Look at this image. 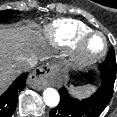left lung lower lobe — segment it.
Instances as JSON below:
<instances>
[{
    "label": "left lung lower lobe",
    "mask_w": 117,
    "mask_h": 117,
    "mask_svg": "<svg viewBox=\"0 0 117 117\" xmlns=\"http://www.w3.org/2000/svg\"><path fill=\"white\" fill-rule=\"evenodd\" d=\"M101 86L90 97L79 100L69 95L67 89L59 90L61 100L56 108L50 110V117H98L109 104L116 78V69L99 66Z\"/></svg>",
    "instance_id": "1"
}]
</instances>
